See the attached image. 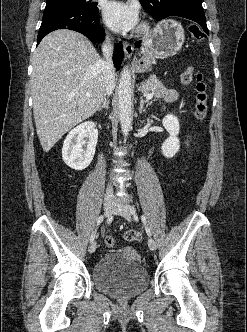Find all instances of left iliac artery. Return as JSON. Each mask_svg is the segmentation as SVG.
I'll return each mask as SVG.
<instances>
[{
	"label": "left iliac artery",
	"mask_w": 247,
	"mask_h": 332,
	"mask_svg": "<svg viewBox=\"0 0 247 332\" xmlns=\"http://www.w3.org/2000/svg\"><path fill=\"white\" fill-rule=\"evenodd\" d=\"M141 219H142V222L144 223L145 225V230H146V233L151 236V230L150 228L148 227L147 225V222H146V217L144 215L141 216Z\"/></svg>",
	"instance_id": "obj_1"
}]
</instances>
